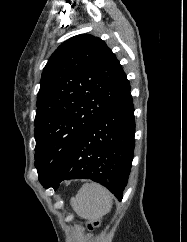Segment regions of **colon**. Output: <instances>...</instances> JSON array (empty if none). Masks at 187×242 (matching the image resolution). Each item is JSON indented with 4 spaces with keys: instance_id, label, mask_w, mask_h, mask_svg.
I'll return each instance as SVG.
<instances>
[{
    "instance_id": "obj_1",
    "label": "colon",
    "mask_w": 187,
    "mask_h": 242,
    "mask_svg": "<svg viewBox=\"0 0 187 242\" xmlns=\"http://www.w3.org/2000/svg\"><path fill=\"white\" fill-rule=\"evenodd\" d=\"M98 225H99V220L98 219H94L92 221H89L86 226H87L88 230H93Z\"/></svg>"
}]
</instances>
